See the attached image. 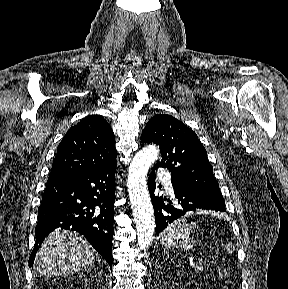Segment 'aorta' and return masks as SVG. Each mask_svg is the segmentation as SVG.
Listing matches in <instances>:
<instances>
[{"label":"aorta","instance_id":"1","mask_svg":"<svg viewBox=\"0 0 288 289\" xmlns=\"http://www.w3.org/2000/svg\"><path fill=\"white\" fill-rule=\"evenodd\" d=\"M158 155L156 146L141 149L133 158L127 177L129 199L137 229L140 249L150 246L155 232L153 206L146 183V174Z\"/></svg>","mask_w":288,"mask_h":289}]
</instances>
